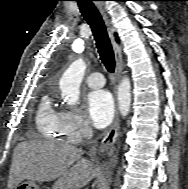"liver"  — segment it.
<instances>
[{
	"label": "liver",
	"instance_id": "obj_1",
	"mask_svg": "<svg viewBox=\"0 0 188 189\" xmlns=\"http://www.w3.org/2000/svg\"><path fill=\"white\" fill-rule=\"evenodd\" d=\"M82 154L80 148L59 142H21L13 152L7 187L14 189L24 180L42 183L59 178L61 189H80L96 175Z\"/></svg>",
	"mask_w": 188,
	"mask_h": 189
}]
</instances>
